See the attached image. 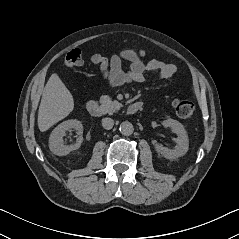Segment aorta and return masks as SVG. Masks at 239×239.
<instances>
[{
	"label": "aorta",
	"instance_id": "obj_1",
	"mask_svg": "<svg viewBox=\"0 0 239 239\" xmlns=\"http://www.w3.org/2000/svg\"><path fill=\"white\" fill-rule=\"evenodd\" d=\"M120 132L123 135L129 136L131 134H133L134 132V127L132 125V123L128 122V121H124L120 124Z\"/></svg>",
	"mask_w": 239,
	"mask_h": 239
}]
</instances>
